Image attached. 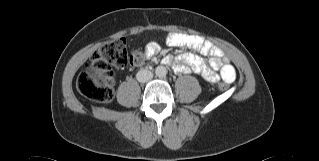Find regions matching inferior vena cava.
I'll use <instances>...</instances> for the list:
<instances>
[{
	"mask_svg": "<svg viewBox=\"0 0 319 161\" xmlns=\"http://www.w3.org/2000/svg\"><path fill=\"white\" fill-rule=\"evenodd\" d=\"M136 78L139 82H148L153 78V73L149 70L142 69L137 73Z\"/></svg>",
	"mask_w": 319,
	"mask_h": 161,
	"instance_id": "obj_1",
	"label": "inferior vena cava"
}]
</instances>
